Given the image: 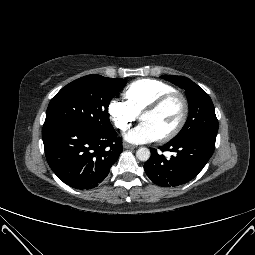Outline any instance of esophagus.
Masks as SVG:
<instances>
[{"instance_id":"obj_1","label":"esophagus","mask_w":255,"mask_h":255,"mask_svg":"<svg viewBox=\"0 0 255 255\" xmlns=\"http://www.w3.org/2000/svg\"><path fill=\"white\" fill-rule=\"evenodd\" d=\"M123 148H124V149H134L135 146L130 145V144H127V143H124V144H123Z\"/></svg>"}]
</instances>
